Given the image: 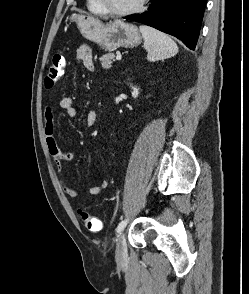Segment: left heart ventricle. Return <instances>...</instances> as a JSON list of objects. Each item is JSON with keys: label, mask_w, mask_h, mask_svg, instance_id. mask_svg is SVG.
<instances>
[{"label": "left heart ventricle", "mask_w": 249, "mask_h": 294, "mask_svg": "<svg viewBox=\"0 0 249 294\" xmlns=\"http://www.w3.org/2000/svg\"><path fill=\"white\" fill-rule=\"evenodd\" d=\"M105 4L114 10H125L136 5L139 0H104Z\"/></svg>", "instance_id": "left-heart-ventricle-1"}]
</instances>
